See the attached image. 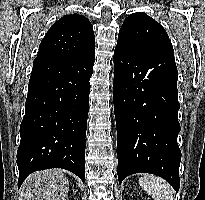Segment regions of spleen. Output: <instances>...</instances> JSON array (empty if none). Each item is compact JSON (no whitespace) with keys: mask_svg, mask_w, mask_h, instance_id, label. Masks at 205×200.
<instances>
[{"mask_svg":"<svg viewBox=\"0 0 205 200\" xmlns=\"http://www.w3.org/2000/svg\"><path fill=\"white\" fill-rule=\"evenodd\" d=\"M139 184L154 200H174L171 186L161 177L147 174L139 178Z\"/></svg>","mask_w":205,"mask_h":200,"instance_id":"obj_1","label":"spleen"}]
</instances>
